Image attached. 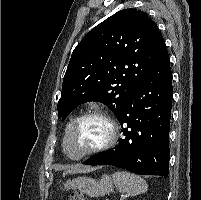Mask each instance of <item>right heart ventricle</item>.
<instances>
[{"label": "right heart ventricle", "instance_id": "e07e8e85", "mask_svg": "<svg viewBox=\"0 0 201 200\" xmlns=\"http://www.w3.org/2000/svg\"><path fill=\"white\" fill-rule=\"evenodd\" d=\"M70 124H71V123H69V124L67 125L66 130H65V133H66V131H67V129H68V127H69ZM63 139H64V138H63Z\"/></svg>", "mask_w": 201, "mask_h": 200}]
</instances>
